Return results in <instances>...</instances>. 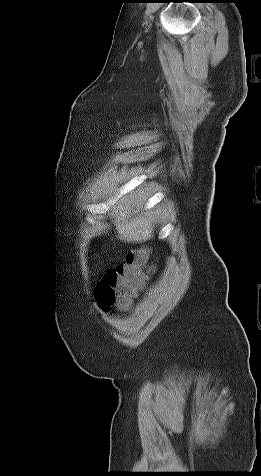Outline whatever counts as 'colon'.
I'll use <instances>...</instances> for the list:
<instances>
[{
  "label": "colon",
  "instance_id": "5ec220e1",
  "mask_svg": "<svg viewBox=\"0 0 261 476\" xmlns=\"http://www.w3.org/2000/svg\"><path fill=\"white\" fill-rule=\"evenodd\" d=\"M150 271L148 250L140 248L130 251L123 263L105 273L96 288L98 301L105 308H129L133 296L143 287Z\"/></svg>",
  "mask_w": 261,
  "mask_h": 476
}]
</instances>
